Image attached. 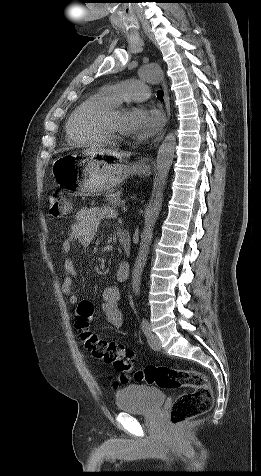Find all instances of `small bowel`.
Instances as JSON below:
<instances>
[{
    "label": "small bowel",
    "instance_id": "obj_1",
    "mask_svg": "<svg viewBox=\"0 0 261 476\" xmlns=\"http://www.w3.org/2000/svg\"><path fill=\"white\" fill-rule=\"evenodd\" d=\"M115 217V211L107 206L82 208L75 215V221L69 227V232L62 243V251L66 255L63 272L64 278L62 282L63 292L69 296L72 305L80 304L78 295L72 292L76 270L72 260L68 257L74 243L80 244L87 248L93 242L100 223L103 220ZM126 263H121L116 271L117 282H124L129 270H125ZM129 267V266H128ZM102 310L107 322L114 328H122L124 326V314L121 310L122 293L117 284L107 286L103 291Z\"/></svg>",
    "mask_w": 261,
    "mask_h": 476
}]
</instances>
